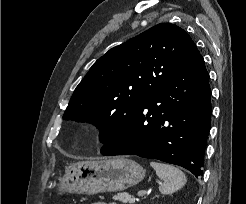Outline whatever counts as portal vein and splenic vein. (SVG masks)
Returning a JSON list of instances; mask_svg holds the SVG:
<instances>
[{"label":"portal vein and splenic vein","instance_id":"18ae733b","mask_svg":"<svg viewBox=\"0 0 246 204\" xmlns=\"http://www.w3.org/2000/svg\"><path fill=\"white\" fill-rule=\"evenodd\" d=\"M146 193H147V191L143 190V191H139V192L137 193V195H138V196H143V195H145Z\"/></svg>","mask_w":246,"mask_h":204}]
</instances>
